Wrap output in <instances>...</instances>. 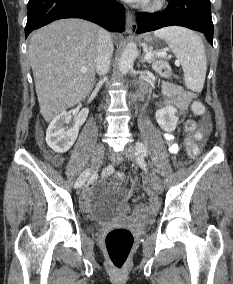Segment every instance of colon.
Wrapping results in <instances>:
<instances>
[{
    "label": "colon",
    "mask_w": 233,
    "mask_h": 284,
    "mask_svg": "<svg viewBox=\"0 0 233 284\" xmlns=\"http://www.w3.org/2000/svg\"><path fill=\"white\" fill-rule=\"evenodd\" d=\"M155 71L162 77L171 75V68L168 63L158 60L154 63ZM192 111L198 116L205 115V107L200 102L195 100L191 105ZM185 130L188 135L185 138V145L188 155L191 158H196L201 151V139L191 133H194L195 126L191 123L185 125ZM103 178L114 177L117 181H123L125 175L122 172H117L112 166L106 167L102 171ZM148 215V207L139 205L134 209V217L139 220H144ZM134 244V236L132 232L126 228L118 227L108 232L105 238V246L108 258L112 266L117 270H122L129 258L131 249Z\"/></svg>",
    "instance_id": "colon-1"
}]
</instances>
